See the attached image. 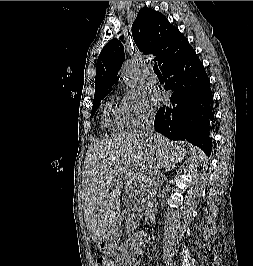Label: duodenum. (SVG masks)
Returning <instances> with one entry per match:
<instances>
[{
    "mask_svg": "<svg viewBox=\"0 0 253 266\" xmlns=\"http://www.w3.org/2000/svg\"><path fill=\"white\" fill-rule=\"evenodd\" d=\"M122 266H131V259L129 257H124L121 261Z\"/></svg>",
    "mask_w": 253,
    "mask_h": 266,
    "instance_id": "duodenum-1",
    "label": "duodenum"
}]
</instances>
